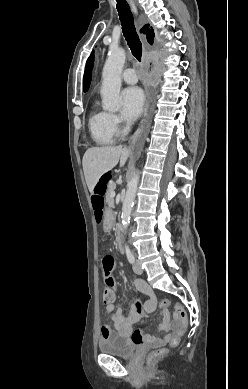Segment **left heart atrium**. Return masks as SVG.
Listing matches in <instances>:
<instances>
[{"mask_svg": "<svg viewBox=\"0 0 248 389\" xmlns=\"http://www.w3.org/2000/svg\"><path fill=\"white\" fill-rule=\"evenodd\" d=\"M122 115L125 119H137L144 108L143 91L135 86L125 88L121 93Z\"/></svg>", "mask_w": 248, "mask_h": 389, "instance_id": "39dd6f15", "label": "left heart atrium"}]
</instances>
